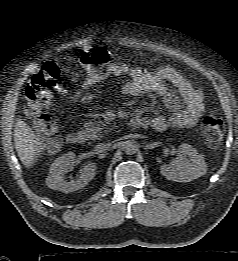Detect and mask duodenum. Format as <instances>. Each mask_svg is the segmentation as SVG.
Segmentation results:
<instances>
[{
	"label": "duodenum",
	"instance_id": "1",
	"mask_svg": "<svg viewBox=\"0 0 238 261\" xmlns=\"http://www.w3.org/2000/svg\"><path fill=\"white\" fill-rule=\"evenodd\" d=\"M147 124V121L145 118L143 117H134L131 120V126L133 128H140L143 127ZM84 135L82 133L79 132H73L67 135L66 137V141L69 145H81L84 142Z\"/></svg>",
	"mask_w": 238,
	"mask_h": 261
}]
</instances>
